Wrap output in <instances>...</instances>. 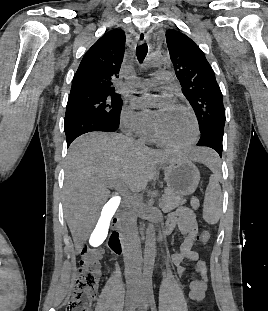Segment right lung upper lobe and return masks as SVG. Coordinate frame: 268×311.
Here are the masks:
<instances>
[{"instance_id":"cb5924a9","label":"right lung upper lobe","mask_w":268,"mask_h":311,"mask_svg":"<svg viewBox=\"0 0 268 311\" xmlns=\"http://www.w3.org/2000/svg\"><path fill=\"white\" fill-rule=\"evenodd\" d=\"M125 33L113 29L104 34L85 53L74 75L71 91L96 90L115 92L113 80L118 77L124 56Z\"/></svg>"}]
</instances>
